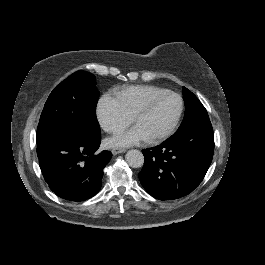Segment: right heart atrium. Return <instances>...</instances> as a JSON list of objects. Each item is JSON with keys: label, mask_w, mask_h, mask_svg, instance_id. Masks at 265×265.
<instances>
[{"label": "right heart atrium", "mask_w": 265, "mask_h": 265, "mask_svg": "<svg viewBox=\"0 0 265 265\" xmlns=\"http://www.w3.org/2000/svg\"><path fill=\"white\" fill-rule=\"evenodd\" d=\"M97 120L103 130L115 133L125 128L131 121L117 98L113 95H104L96 108Z\"/></svg>", "instance_id": "right-heart-atrium-1"}]
</instances>
